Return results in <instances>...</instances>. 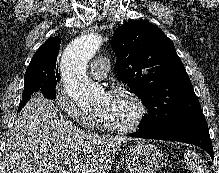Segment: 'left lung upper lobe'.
<instances>
[{
  "instance_id": "5c2ea615",
  "label": "left lung upper lobe",
  "mask_w": 219,
  "mask_h": 173,
  "mask_svg": "<svg viewBox=\"0 0 219 173\" xmlns=\"http://www.w3.org/2000/svg\"><path fill=\"white\" fill-rule=\"evenodd\" d=\"M119 78L141 99L149 114L139 131L160 132L202 116L201 106L173 42L143 20L121 25L111 40Z\"/></svg>"
}]
</instances>
